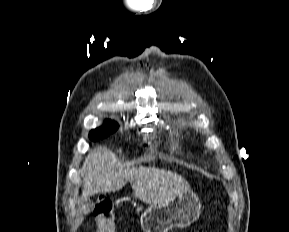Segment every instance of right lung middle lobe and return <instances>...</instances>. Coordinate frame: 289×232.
I'll return each mask as SVG.
<instances>
[{
  "mask_svg": "<svg viewBox=\"0 0 289 232\" xmlns=\"http://www.w3.org/2000/svg\"><path fill=\"white\" fill-rule=\"evenodd\" d=\"M118 129V124L111 120H106L102 127L94 129L90 132L89 138L93 141L103 139L116 131Z\"/></svg>",
  "mask_w": 289,
  "mask_h": 232,
  "instance_id": "dd1d6c3e",
  "label": "right lung middle lobe"
}]
</instances>
